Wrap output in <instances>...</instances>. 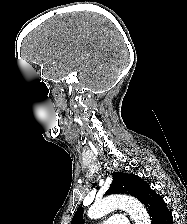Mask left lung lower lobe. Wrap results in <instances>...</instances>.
<instances>
[{
  "label": "left lung lower lobe",
  "mask_w": 187,
  "mask_h": 224,
  "mask_svg": "<svg viewBox=\"0 0 187 224\" xmlns=\"http://www.w3.org/2000/svg\"><path fill=\"white\" fill-rule=\"evenodd\" d=\"M145 207L150 215L151 224H172L173 218L163 198L155 192L145 202Z\"/></svg>",
  "instance_id": "1"
}]
</instances>
